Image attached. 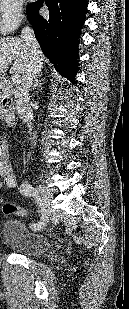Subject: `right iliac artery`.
I'll return each mask as SVG.
<instances>
[{"mask_svg": "<svg viewBox=\"0 0 129 309\" xmlns=\"http://www.w3.org/2000/svg\"><path fill=\"white\" fill-rule=\"evenodd\" d=\"M20 192L25 195V196H28V197H33L37 203V205L39 206L40 210H41V220L38 224H35L34 225V228L36 229H39L41 227L42 224H44V221H45V210H44V207L41 203V200L36 192V190L32 187V185L30 184H25V185H22V187L20 188Z\"/></svg>", "mask_w": 129, "mask_h": 309, "instance_id": "1", "label": "right iliac artery"}]
</instances>
